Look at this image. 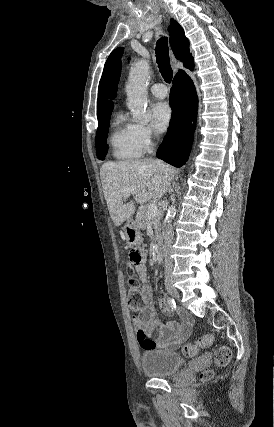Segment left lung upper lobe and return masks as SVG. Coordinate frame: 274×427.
Instances as JSON below:
<instances>
[{
	"instance_id": "5c2ea615",
	"label": "left lung upper lobe",
	"mask_w": 274,
	"mask_h": 427,
	"mask_svg": "<svg viewBox=\"0 0 274 427\" xmlns=\"http://www.w3.org/2000/svg\"><path fill=\"white\" fill-rule=\"evenodd\" d=\"M120 69L121 67L120 65H118L110 80L109 96L111 98H114L116 96L117 85L120 77Z\"/></svg>"
}]
</instances>
